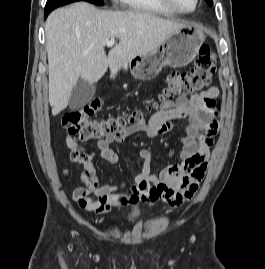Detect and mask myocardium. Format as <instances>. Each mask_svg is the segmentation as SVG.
Listing matches in <instances>:
<instances>
[{"instance_id": "obj_1", "label": "myocardium", "mask_w": 265, "mask_h": 269, "mask_svg": "<svg viewBox=\"0 0 265 269\" xmlns=\"http://www.w3.org/2000/svg\"><path fill=\"white\" fill-rule=\"evenodd\" d=\"M159 1L162 5H164L169 10L176 13H181V14H189V13L194 12L197 9L198 4H199V0H195L194 7L191 10H184L176 6L172 0H159Z\"/></svg>"}]
</instances>
